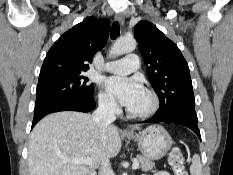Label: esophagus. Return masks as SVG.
<instances>
[{
    "mask_svg": "<svg viewBox=\"0 0 233 175\" xmlns=\"http://www.w3.org/2000/svg\"><path fill=\"white\" fill-rule=\"evenodd\" d=\"M115 18H116V20L119 21L121 24H124L125 19H124V16H123L122 13H117V14L115 15ZM124 133H127V131L125 130Z\"/></svg>",
    "mask_w": 233,
    "mask_h": 175,
    "instance_id": "34e87169",
    "label": "esophagus"
}]
</instances>
